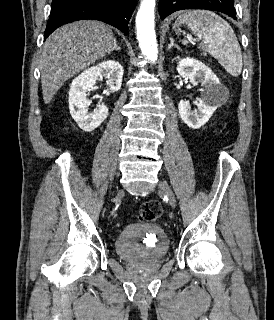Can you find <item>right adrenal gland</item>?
<instances>
[{
    "instance_id": "obj_1",
    "label": "right adrenal gland",
    "mask_w": 274,
    "mask_h": 320,
    "mask_svg": "<svg viewBox=\"0 0 274 320\" xmlns=\"http://www.w3.org/2000/svg\"><path fill=\"white\" fill-rule=\"evenodd\" d=\"M115 40H116V38H115ZM114 50H117V52H119V50H120V48H119V46H117L116 42L114 44L113 50H111V52H109L108 56H110V54H112V52H114Z\"/></svg>"
}]
</instances>
